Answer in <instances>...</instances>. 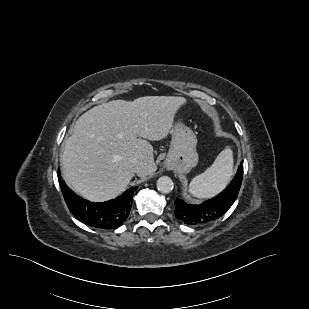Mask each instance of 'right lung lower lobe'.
Returning a JSON list of instances; mask_svg holds the SVG:
<instances>
[{
	"mask_svg": "<svg viewBox=\"0 0 309 309\" xmlns=\"http://www.w3.org/2000/svg\"><path fill=\"white\" fill-rule=\"evenodd\" d=\"M57 173L65 202L79 221L95 228L105 229L117 228L125 222L130 213L132 197L137 187L130 188L116 199L93 203L77 196L67 187L59 170Z\"/></svg>",
	"mask_w": 309,
	"mask_h": 309,
	"instance_id": "98d812e1",
	"label": "right lung lower lobe"
}]
</instances>
